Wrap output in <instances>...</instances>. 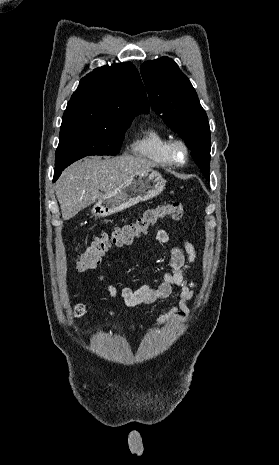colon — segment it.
Listing matches in <instances>:
<instances>
[{"label":"colon","instance_id":"obj_1","mask_svg":"<svg viewBox=\"0 0 279 465\" xmlns=\"http://www.w3.org/2000/svg\"><path fill=\"white\" fill-rule=\"evenodd\" d=\"M184 216V206L179 202L161 204L147 209L134 221L115 227L112 231L102 233L78 256L75 268L78 272L93 269L105 252L112 246H124L147 233L148 229L159 220L170 217L180 220ZM76 315L82 314V307L77 306Z\"/></svg>","mask_w":279,"mask_h":465}]
</instances>
